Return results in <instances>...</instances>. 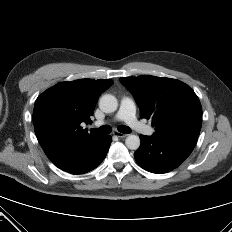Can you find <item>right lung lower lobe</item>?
I'll return each instance as SVG.
<instances>
[{
  "label": "right lung lower lobe",
  "mask_w": 232,
  "mask_h": 232,
  "mask_svg": "<svg viewBox=\"0 0 232 232\" xmlns=\"http://www.w3.org/2000/svg\"><path fill=\"white\" fill-rule=\"evenodd\" d=\"M112 137L99 136L90 144L64 151L50 159L58 168L71 174H83L96 168L105 158Z\"/></svg>",
  "instance_id": "98d812e1"
}]
</instances>
